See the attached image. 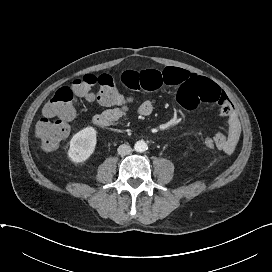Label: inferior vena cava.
I'll use <instances>...</instances> for the list:
<instances>
[{
    "label": "inferior vena cava",
    "mask_w": 272,
    "mask_h": 272,
    "mask_svg": "<svg viewBox=\"0 0 272 272\" xmlns=\"http://www.w3.org/2000/svg\"><path fill=\"white\" fill-rule=\"evenodd\" d=\"M118 154L121 156L129 155L132 151V148L129 145L122 144L117 149Z\"/></svg>",
    "instance_id": "obj_1"
}]
</instances>
